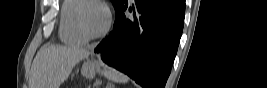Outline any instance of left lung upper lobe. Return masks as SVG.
Segmentation results:
<instances>
[{
  "label": "left lung upper lobe",
  "instance_id": "left-lung-upper-lobe-1",
  "mask_svg": "<svg viewBox=\"0 0 267 88\" xmlns=\"http://www.w3.org/2000/svg\"><path fill=\"white\" fill-rule=\"evenodd\" d=\"M124 1H125V0H111V2H112L113 5H114L115 10L118 9V8L122 5V3H123Z\"/></svg>",
  "mask_w": 267,
  "mask_h": 88
}]
</instances>
